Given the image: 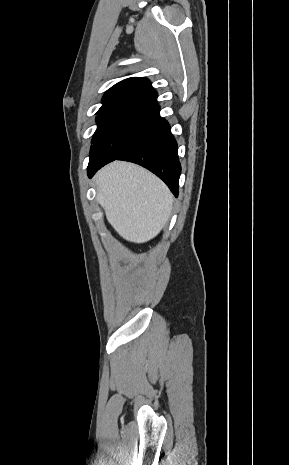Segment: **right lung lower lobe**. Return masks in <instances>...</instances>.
<instances>
[{"label": "right lung lower lobe", "mask_w": 289, "mask_h": 465, "mask_svg": "<svg viewBox=\"0 0 289 465\" xmlns=\"http://www.w3.org/2000/svg\"><path fill=\"white\" fill-rule=\"evenodd\" d=\"M116 159L130 161L147 168L161 178L176 197L178 196L181 165L177 155V143L165 119L159 118ZM109 162L111 161H89L88 176L91 178L97 170Z\"/></svg>", "instance_id": "obj_1"}]
</instances>
